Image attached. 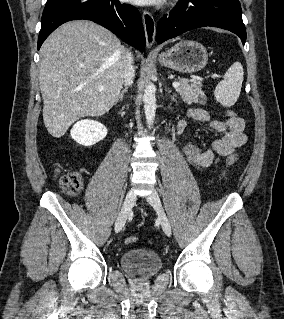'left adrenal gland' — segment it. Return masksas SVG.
I'll return each instance as SVG.
<instances>
[{
  "label": "left adrenal gland",
  "instance_id": "left-adrenal-gland-1",
  "mask_svg": "<svg viewBox=\"0 0 284 319\" xmlns=\"http://www.w3.org/2000/svg\"><path fill=\"white\" fill-rule=\"evenodd\" d=\"M168 93L170 94L171 100L177 103V95L171 94V90H168Z\"/></svg>",
  "mask_w": 284,
  "mask_h": 319
}]
</instances>
